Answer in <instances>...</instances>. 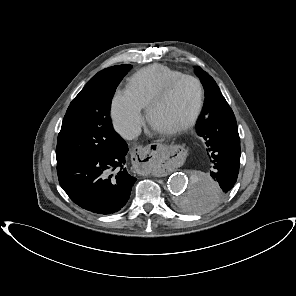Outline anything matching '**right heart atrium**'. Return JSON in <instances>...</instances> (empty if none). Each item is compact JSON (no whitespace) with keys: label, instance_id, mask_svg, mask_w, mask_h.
Listing matches in <instances>:
<instances>
[{"label":"right heart atrium","instance_id":"d8ad5b80","mask_svg":"<svg viewBox=\"0 0 296 296\" xmlns=\"http://www.w3.org/2000/svg\"><path fill=\"white\" fill-rule=\"evenodd\" d=\"M111 118L115 129L125 138H134L143 122L142 108L126 90H117L111 101Z\"/></svg>","mask_w":296,"mask_h":296}]
</instances>
